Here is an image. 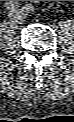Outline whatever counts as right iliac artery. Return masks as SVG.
Listing matches in <instances>:
<instances>
[{
	"mask_svg": "<svg viewBox=\"0 0 74 122\" xmlns=\"http://www.w3.org/2000/svg\"><path fill=\"white\" fill-rule=\"evenodd\" d=\"M19 7V4L16 1H9L5 3V8L11 12L16 10Z\"/></svg>",
	"mask_w": 74,
	"mask_h": 122,
	"instance_id": "right-iliac-artery-1",
	"label": "right iliac artery"
}]
</instances>
